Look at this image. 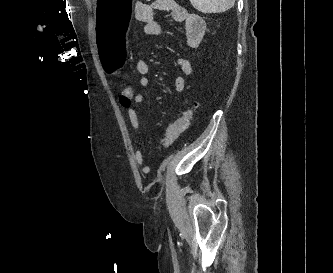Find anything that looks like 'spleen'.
I'll use <instances>...</instances> for the list:
<instances>
[{
    "mask_svg": "<svg viewBox=\"0 0 333 273\" xmlns=\"http://www.w3.org/2000/svg\"><path fill=\"white\" fill-rule=\"evenodd\" d=\"M190 2L202 13H220L232 8L235 0H190Z\"/></svg>",
    "mask_w": 333,
    "mask_h": 273,
    "instance_id": "spleen-1",
    "label": "spleen"
}]
</instances>
